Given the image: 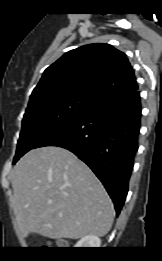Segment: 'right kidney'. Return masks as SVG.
<instances>
[{
    "label": "right kidney",
    "instance_id": "right-kidney-1",
    "mask_svg": "<svg viewBox=\"0 0 162 261\" xmlns=\"http://www.w3.org/2000/svg\"><path fill=\"white\" fill-rule=\"evenodd\" d=\"M101 245V240L94 235H87L79 240L75 247L76 248H99Z\"/></svg>",
    "mask_w": 162,
    "mask_h": 261
}]
</instances>
